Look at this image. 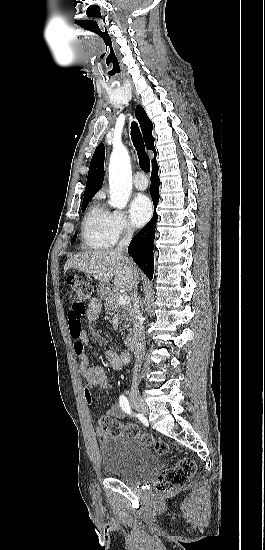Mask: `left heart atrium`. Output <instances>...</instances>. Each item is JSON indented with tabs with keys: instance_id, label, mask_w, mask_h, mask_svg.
Instances as JSON below:
<instances>
[{
	"instance_id": "39dd6f15",
	"label": "left heart atrium",
	"mask_w": 265,
	"mask_h": 550,
	"mask_svg": "<svg viewBox=\"0 0 265 550\" xmlns=\"http://www.w3.org/2000/svg\"><path fill=\"white\" fill-rule=\"evenodd\" d=\"M152 215V204L144 194L136 195L130 203V218L134 225L143 226Z\"/></svg>"
}]
</instances>
